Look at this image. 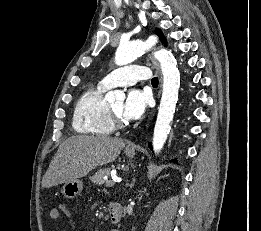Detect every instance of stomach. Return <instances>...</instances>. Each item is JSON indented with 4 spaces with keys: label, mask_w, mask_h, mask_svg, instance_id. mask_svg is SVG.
I'll return each instance as SVG.
<instances>
[{
    "label": "stomach",
    "mask_w": 261,
    "mask_h": 231,
    "mask_svg": "<svg viewBox=\"0 0 261 231\" xmlns=\"http://www.w3.org/2000/svg\"><path fill=\"white\" fill-rule=\"evenodd\" d=\"M125 154L128 157H133L136 154L135 149H125ZM83 189V182L80 179H75L73 181L67 182L64 184L62 188V194L68 198V199H73L80 195L81 191Z\"/></svg>",
    "instance_id": "0dacf381"
}]
</instances>
